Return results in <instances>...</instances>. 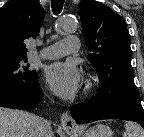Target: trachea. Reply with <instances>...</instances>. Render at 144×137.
I'll return each instance as SVG.
<instances>
[{
    "label": "trachea",
    "instance_id": "obj_1",
    "mask_svg": "<svg viewBox=\"0 0 144 137\" xmlns=\"http://www.w3.org/2000/svg\"><path fill=\"white\" fill-rule=\"evenodd\" d=\"M64 0H51L52 11L54 14H59L62 11Z\"/></svg>",
    "mask_w": 144,
    "mask_h": 137
}]
</instances>
